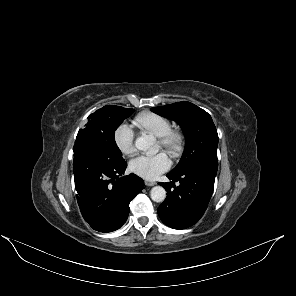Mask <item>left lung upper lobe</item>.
<instances>
[{
    "instance_id": "obj_1",
    "label": "left lung upper lobe",
    "mask_w": 296,
    "mask_h": 296,
    "mask_svg": "<svg viewBox=\"0 0 296 296\" xmlns=\"http://www.w3.org/2000/svg\"><path fill=\"white\" fill-rule=\"evenodd\" d=\"M151 110L178 122L186 137L181 160L169 173H180L201 163H218V134L211 116L206 111L185 101Z\"/></svg>"
}]
</instances>
